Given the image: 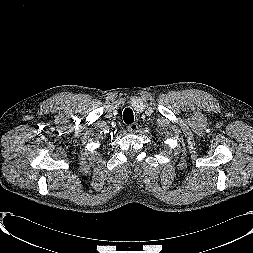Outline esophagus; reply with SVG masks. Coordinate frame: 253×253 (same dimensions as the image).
I'll return each instance as SVG.
<instances>
[{
    "label": "esophagus",
    "instance_id": "obj_1",
    "mask_svg": "<svg viewBox=\"0 0 253 253\" xmlns=\"http://www.w3.org/2000/svg\"><path fill=\"white\" fill-rule=\"evenodd\" d=\"M127 129L129 132H135L138 129V124L137 123H132L127 126Z\"/></svg>",
    "mask_w": 253,
    "mask_h": 253
}]
</instances>
